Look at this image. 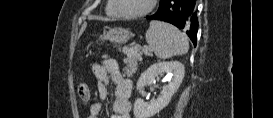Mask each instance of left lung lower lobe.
<instances>
[{"mask_svg": "<svg viewBox=\"0 0 273 118\" xmlns=\"http://www.w3.org/2000/svg\"><path fill=\"white\" fill-rule=\"evenodd\" d=\"M196 0H160L158 11L147 16L150 20H162L184 30L196 46L198 18Z\"/></svg>", "mask_w": 273, "mask_h": 118, "instance_id": "1", "label": "left lung lower lobe"}]
</instances>
